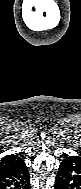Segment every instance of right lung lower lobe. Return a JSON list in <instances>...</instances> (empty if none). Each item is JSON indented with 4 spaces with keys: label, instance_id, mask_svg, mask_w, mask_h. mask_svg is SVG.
Returning <instances> with one entry per match:
<instances>
[{
    "label": "right lung lower lobe",
    "instance_id": "98d812e1",
    "mask_svg": "<svg viewBox=\"0 0 81 189\" xmlns=\"http://www.w3.org/2000/svg\"><path fill=\"white\" fill-rule=\"evenodd\" d=\"M0 189H30V177L23 160L0 171Z\"/></svg>",
    "mask_w": 81,
    "mask_h": 189
}]
</instances>
